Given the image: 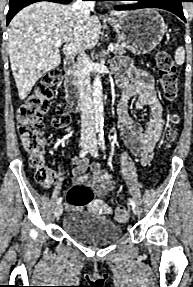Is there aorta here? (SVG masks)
I'll return each mask as SVG.
<instances>
[{
  "label": "aorta",
  "mask_w": 193,
  "mask_h": 287,
  "mask_svg": "<svg viewBox=\"0 0 193 287\" xmlns=\"http://www.w3.org/2000/svg\"><path fill=\"white\" fill-rule=\"evenodd\" d=\"M93 103H94V116L95 124L98 128L103 125V94L101 77L97 74L93 81Z\"/></svg>",
  "instance_id": "obj_1"
}]
</instances>
